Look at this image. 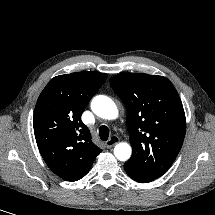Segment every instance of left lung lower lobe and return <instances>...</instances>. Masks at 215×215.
I'll list each match as a JSON object with an SVG mask.
<instances>
[{"label":"left lung lower lobe","mask_w":215,"mask_h":215,"mask_svg":"<svg viewBox=\"0 0 215 215\" xmlns=\"http://www.w3.org/2000/svg\"><path fill=\"white\" fill-rule=\"evenodd\" d=\"M124 169L127 173V175L132 178L133 180L137 181V182H140V183H148V182H151L155 179L153 178H149V177H146V176H143V175H140L138 174L137 172L127 168L126 166H124Z\"/></svg>","instance_id":"obj_1"}]
</instances>
